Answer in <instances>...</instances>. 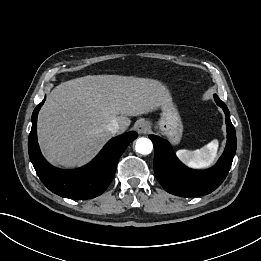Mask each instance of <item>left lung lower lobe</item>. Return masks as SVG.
I'll return each mask as SVG.
<instances>
[{"instance_id":"obj_1","label":"left lung lower lobe","mask_w":261,"mask_h":261,"mask_svg":"<svg viewBox=\"0 0 261 261\" xmlns=\"http://www.w3.org/2000/svg\"><path fill=\"white\" fill-rule=\"evenodd\" d=\"M214 99L225 113L227 126V144L214 167L204 171L189 169L178 160L166 140L155 135L149 136L155 149V176L171 194L188 198L207 195L221 185L230 170L237 145L235 128L227 106L217 96Z\"/></svg>"}]
</instances>
